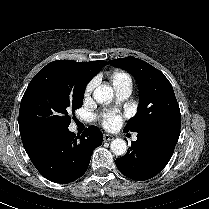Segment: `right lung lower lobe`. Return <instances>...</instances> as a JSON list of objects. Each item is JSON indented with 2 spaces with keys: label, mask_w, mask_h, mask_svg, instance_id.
<instances>
[{
  "label": "right lung lower lobe",
  "mask_w": 209,
  "mask_h": 209,
  "mask_svg": "<svg viewBox=\"0 0 209 209\" xmlns=\"http://www.w3.org/2000/svg\"><path fill=\"white\" fill-rule=\"evenodd\" d=\"M103 135L96 127L75 135L67 129L47 136L26 150L36 169L55 183H70L87 170L92 151L102 144Z\"/></svg>",
  "instance_id": "right-lung-lower-lobe-1"
}]
</instances>
